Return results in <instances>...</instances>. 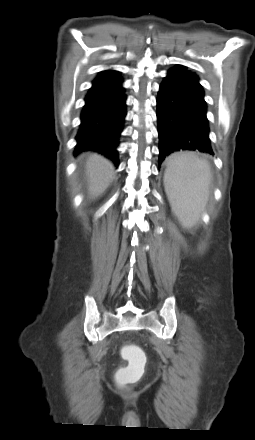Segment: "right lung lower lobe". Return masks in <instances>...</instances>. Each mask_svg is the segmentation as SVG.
Instances as JSON below:
<instances>
[{
	"instance_id": "right-lung-lower-lobe-1",
	"label": "right lung lower lobe",
	"mask_w": 255,
	"mask_h": 440,
	"mask_svg": "<svg viewBox=\"0 0 255 440\" xmlns=\"http://www.w3.org/2000/svg\"><path fill=\"white\" fill-rule=\"evenodd\" d=\"M118 71L101 72L85 97L75 155L93 150L119 165L117 147L126 116V95Z\"/></svg>"
}]
</instances>
